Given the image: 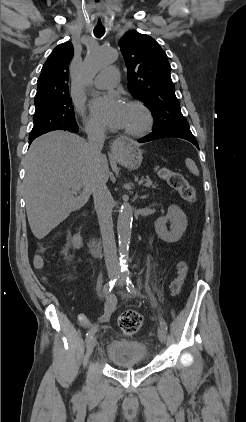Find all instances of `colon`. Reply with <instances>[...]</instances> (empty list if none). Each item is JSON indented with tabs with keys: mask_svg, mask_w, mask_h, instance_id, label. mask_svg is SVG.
Instances as JSON below:
<instances>
[{
	"mask_svg": "<svg viewBox=\"0 0 246 422\" xmlns=\"http://www.w3.org/2000/svg\"><path fill=\"white\" fill-rule=\"evenodd\" d=\"M157 173L162 179L166 180L174 190L179 193L184 201L187 203L195 202V189L181 173L171 171L164 167H159L157 169ZM36 263L37 265H41V259L37 258ZM187 270V264L185 262H181L178 266V276L172 285V289L175 294L180 292L187 274ZM142 324V316L134 310H127L123 312L118 319V325L125 334L132 335L137 333L140 331Z\"/></svg>",
	"mask_w": 246,
	"mask_h": 422,
	"instance_id": "obj_1",
	"label": "colon"
}]
</instances>
